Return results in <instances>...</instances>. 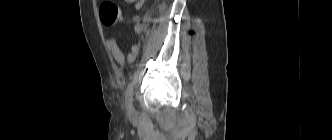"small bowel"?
Here are the masks:
<instances>
[{
    "mask_svg": "<svg viewBox=\"0 0 332 140\" xmlns=\"http://www.w3.org/2000/svg\"><path fill=\"white\" fill-rule=\"evenodd\" d=\"M125 3L133 4L135 9H141L145 3V0H123ZM108 50L111 52L114 60L120 65L124 66L126 63H132L135 61L139 48L137 45H133L129 52L125 55L120 49L116 38L111 37L107 41Z\"/></svg>",
    "mask_w": 332,
    "mask_h": 140,
    "instance_id": "c3829d8e",
    "label": "small bowel"
}]
</instances>
